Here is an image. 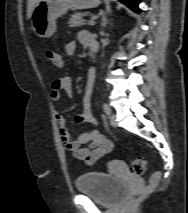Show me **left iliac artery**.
<instances>
[{
  "label": "left iliac artery",
  "instance_id": "1",
  "mask_svg": "<svg viewBox=\"0 0 188 213\" xmlns=\"http://www.w3.org/2000/svg\"><path fill=\"white\" fill-rule=\"evenodd\" d=\"M103 109H104V112H105L107 115H110V114H111V108H110V106H109L107 103H104V104H103Z\"/></svg>",
  "mask_w": 188,
  "mask_h": 213
}]
</instances>
